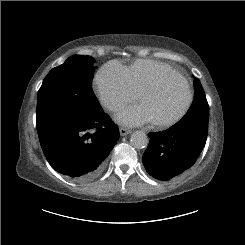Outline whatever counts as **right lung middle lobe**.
<instances>
[{
    "label": "right lung middle lobe",
    "mask_w": 245,
    "mask_h": 245,
    "mask_svg": "<svg viewBox=\"0 0 245 245\" xmlns=\"http://www.w3.org/2000/svg\"><path fill=\"white\" fill-rule=\"evenodd\" d=\"M93 73L92 58L78 55L48 73L38 91V132L64 118L90 116L101 110L91 90Z\"/></svg>",
    "instance_id": "obj_1"
}]
</instances>
